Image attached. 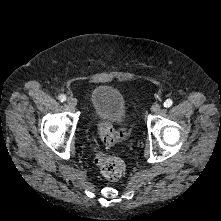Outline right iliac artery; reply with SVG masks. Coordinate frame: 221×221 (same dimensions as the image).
Segmentation results:
<instances>
[{
	"label": "right iliac artery",
	"instance_id": "82829eb1",
	"mask_svg": "<svg viewBox=\"0 0 221 221\" xmlns=\"http://www.w3.org/2000/svg\"><path fill=\"white\" fill-rule=\"evenodd\" d=\"M59 100H60L61 102H65V101H66V96H65L64 94H61V95L59 96Z\"/></svg>",
	"mask_w": 221,
	"mask_h": 221
}]
</instances>
